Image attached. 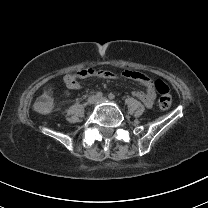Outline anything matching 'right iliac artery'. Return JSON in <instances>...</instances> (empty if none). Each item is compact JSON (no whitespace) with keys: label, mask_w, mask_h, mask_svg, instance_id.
<instances>
[{"label":"right iliac artery","mask_w":208,"mask_h":208,"mask_svg":"<svg viewBox=\"0 0 208 208\" xmlns=\"http://www.w3.org/2000/svg\"><path fill=\"white\" fill-rule=\"evenodd\" d=\"M102 96H103V93H102V92H97V93H96V97H97V98H102Z\"/></svg>","instance_id":"1"}]
</instances>
